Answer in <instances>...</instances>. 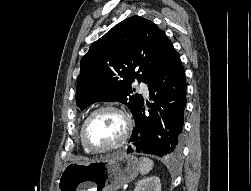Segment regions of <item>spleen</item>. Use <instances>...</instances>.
<instances>
[{"instance_id":"1","label":"spleen","mask_w":251,"mask_h":191,"mask_svg":"<svg viewBox=\"0 0 251 191\" xmlns=\"http://www.w3.org/2000/svg\"><path fill=\"white\" fill-rule=\"evenodd\" d=\"M153 165L154 163L149 157H140V173H142V175H144V173H149Z\"/></svg>"}]
</instances>
